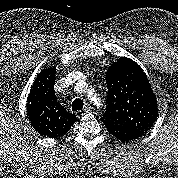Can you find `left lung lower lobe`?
<instances>
[{
	"instance_id": "left-lung-lower-lobe-1",
	"label": "left lung lower lobe",
	"mask_w": 178,
	"mask_h": 178,
	"mask_svg": "<svg viewBox=\"0 0 178 178\" xmlns=\"http://www.w3.org/2000/svg\"><path fill=\"white\" fill-rule=\"evenodd\" d=\"M103 123L106 126L107 130L113 136L123 142H128L130 140L137 139L146 133V131L138 130L135 128L124 127L109 122Z\"/></svg>"
}]
</instances>
